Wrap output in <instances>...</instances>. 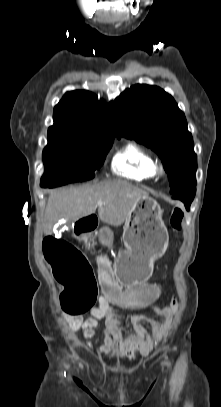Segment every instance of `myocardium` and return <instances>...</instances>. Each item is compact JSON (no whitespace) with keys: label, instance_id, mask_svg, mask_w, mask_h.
Wrapping results in <instances>:
<instances>
[{"label":"myocardium","instance_id":"f54148a6","mask_svg":"<svg viewBox=\"0 0 221 407\" xmlns=\"http://www.w3.org/2000/svg\"><path fill=\"white\" fill-rule=\"evenodd\" d=\"M157 175L164 176L166 175V169L163 165H157Z\"/></svg>","mask_w":221,"mask_h":407}]
</instances>
